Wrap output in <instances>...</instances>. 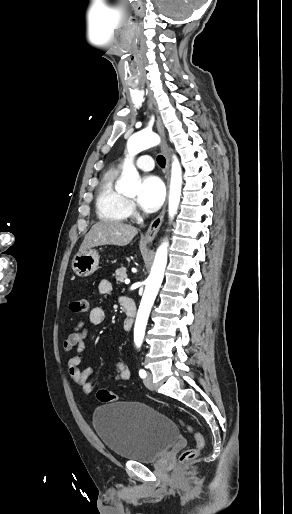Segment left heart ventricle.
I'll list each match as a JSON object with an SVG mask.
<instances>
[{"instance_id":"b2bd125f","label":"left heart ventricle","mask_w":292,"mask_h":514,"mask_svg":"<svg viewBox=\"0 0 292 514\" xmlns=\"http://www.w3.org/2000/svg\"><path fill=\"white\" fill-rule=\"evenodd\" d=\"M127 198L131 199L134 195H125Z\"/></svg>"}]
</instances>
